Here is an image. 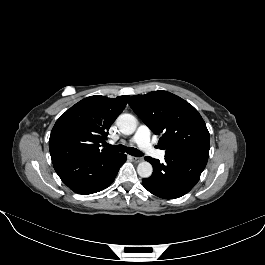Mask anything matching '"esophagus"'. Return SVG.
Listing matches in <instances>:
<instances>
[{
    "instance_id": "esophagus-1",
    "label": "esophagus",
    "mask_w": 265,
    "mask_h": 265,
    "mask_svg": "<svg viewBox=\"0 0 265 265\" xmlns=\"http://www.w3.org/2000/svg\"><path fill=\"white\" fill-rule=\"evenodd\" d=\"M132 159L135 161V162H141L143 160V158L141 157H132Z\"/></svg>"
}]
</instances>
